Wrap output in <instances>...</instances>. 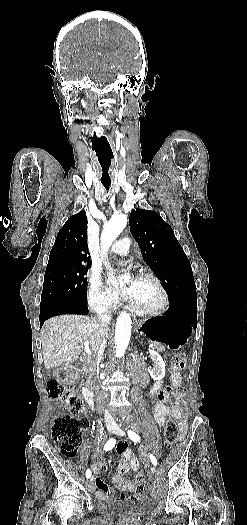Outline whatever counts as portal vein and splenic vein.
I'll list each match as a JSON object with an SVG mask.
<instances>
[{
    "mask_svg": "<svg viewBox=\"0 0 247 525\" xmlns=\"http://www.w3.org/2000/svg\"><path fill=\"white\" fill-rule=\"evenodd\" d=\"M148 346H149V348H153L154 343H148ZM84 351H85V353H87V355H92V353H91L89 347H87V345H84Z\"/></svg>",
    "mask_w": 247,
    "mask_h": 525,
    "instance_id": "obj_1",
    "label": "portal vein and splenic vein"
}]
</instances>
